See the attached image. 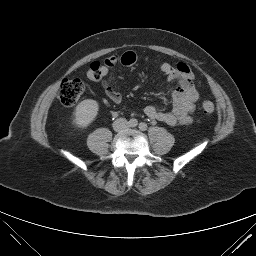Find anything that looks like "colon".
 I'll return each mask as SVG.
<instances>
[{"label":"colon","mask_w":256,"mask_h":256,"mask_svg":"<svg viewBox=\"0 0 256 256\" xmlns=\"http://www.w3.org/2000/svg\"><path fill=\"white\" fill-rule=\"evenodd\" d=\"M86 75L91 80H100L103 77V64L100 62L91 63ZM83 91L84 84L82 80L78 78L64 79L58 88V98L64 106L71 107L78 102ZM202 107L204 113L208 115L215 111V106L211 101L203 102Z\"/></svg>","instance_id":"obj_1"}]
</instances>
